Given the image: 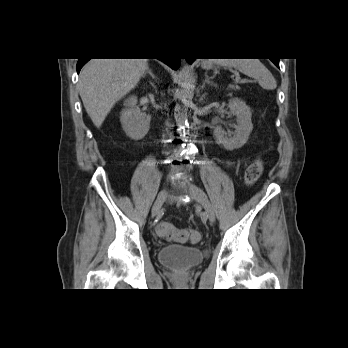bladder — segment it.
<instances>
[{"mask_svg":"<svg viewBox=\"0 0 348 348\" xmlns=\"http://www.w3.org/2000/svg\"><path fill=\"white\" fill-rule=\"evenodd\" d=\"M207 251L199 246L168 245L158 251L160 263L179 270L199 264Z\"/></svg>","mask_w":348,"mask_h":348,"instance_id":"31cf9c89","label":"bladder"}]
</instances>
